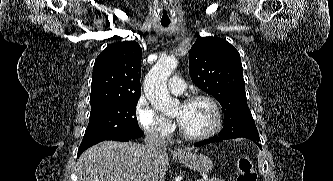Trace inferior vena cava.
I'll use <instances>...</instances> for the list:
<instances>
[{"instance_id":"602c4592","label":"inferior vena cava","mask_w":333,"mask_h":181,"mask_svg":"<svg viewBox=\"0 0 333 181\" xmlns=\"http://www.w3.org/2000/svg\"><path fill=\"white\" fill-rule=\"evenodd\" d=\"M145 147L148 150L153 164V169L147 177V181H164V176L161 174L157 167V160L159 155L166 149L168 146V141L165 136L159 134L158 132L151 131L148 132L145 137Z\"/></svg>"}]
</instances>
